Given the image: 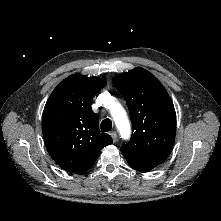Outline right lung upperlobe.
Wrapping results in <instances>:
<instances>
[{
    "mask_svg": "<svg viewBox=\"0 0 221 221\" xmlns=\"http://www.w3.org/2000/svg\"><path fill=\"white\" fill-rule=\"evenodd\" d=\"M106 85L98 77L73 74L48 98L42 118L46 148L64 170L81 174L89 170L103 147L113 143L99 130V117L91 109L95 94Z\"/></svg>",
    "mask_w": 221,
    "mask_h": 221,
    "instance_id": "obj_1",
    "label": "right lung upper lobe"
}]
</instances>
